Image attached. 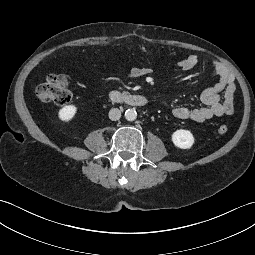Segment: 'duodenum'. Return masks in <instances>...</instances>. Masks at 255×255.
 I'll use <instances>...</instances> for the list:
<instances>
[{"instance_id": "410a0bca", "label": "duodenum", "mask_w": 255, "mask_h": 255, "mask_svg": "<svg viewBox=\"0 0 255 255\" xmlns=\"http://www.w3.org/2000/svg\"><path fill=\"white\" fill-rule=\"evenodd\" d=\"M108 98L111 102L125 104L133 107H143L147 104V99L144 96L126 94L119 90L109 91Z\"/></svg>"}]
</instances>
